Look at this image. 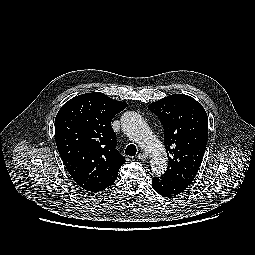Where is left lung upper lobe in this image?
<instances>
[{
	"label": "left lung upper lobe",
	"mask_w": 255,
	"mask_h": 255,
	"mask_svg": "<svg viewBox=\"0 0 255 255\" xmlns=\"http://www.w3.org/2000/svg\"><path fill=\"white\" fill-rule=\"evenodd\" d=\"M148 108L164 128L168 155L162 175L177 184L189 186L195 178L207 145L208 117L203 106L184 94H173L153 102Z\"/></svg>",
	"instance_id": "1"
}]
</instances>
